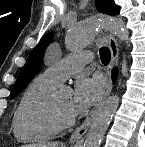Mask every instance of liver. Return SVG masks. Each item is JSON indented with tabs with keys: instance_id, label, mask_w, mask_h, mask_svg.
Returning <instances> with one entry per match:
<instances>
[{
	"instance_id": "obj_1",
	"label": "liver",
	"mask_w": 145,
	"mask_h": 147,
	"mask_svg": "<svg viewBox=\"0 0 145 147\" xmlns=\"http://www.w3.org/2000/svg\"><path fill=\"white\" fill-rule=\"evenodd\" d=\"M23 147H59L58 142H40L37 144L24 145Z\"/></svg>"
}]
</instances>
